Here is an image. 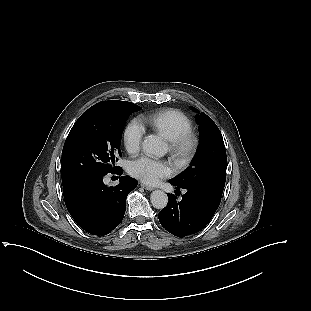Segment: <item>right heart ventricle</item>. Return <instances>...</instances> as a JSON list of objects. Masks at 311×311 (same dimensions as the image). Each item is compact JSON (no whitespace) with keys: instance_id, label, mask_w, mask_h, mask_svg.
<instances>
[{"instance_id":"right-heart-ventricle-1","label":"right heart ventricle","mask_w":311,"mask_h":311,"mask_svg":"<svg viewBox=\"0 0 311 311\" xmlns=\"http://www.w3.org/2000/svg\"><path fill=\"white\" fill-rule=\"evenodd\" d=\"M149 125L168 142L182 133L190 132L192 127L190 118L178 109H166L154 114L149 118Z\"/></svg>"}]
</instances>
